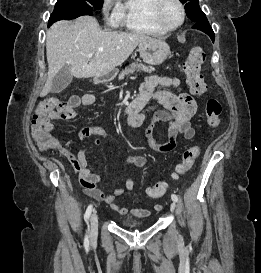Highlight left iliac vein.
I'll use <instances>...</instances> for the list:
<instances>
[{
	"mask_svg": "<svg viewBox=\"0 0 261 273\" xmlns=\"http://www.w3.org/2000/svg\"><path fill=\"white\" fill-rule=\"evenodd\" d=\"M170 209H171L172 212L175 211V209H176V203H175L174 201L171 202V204H170Z\"/></svg>",
	"mask_w": 261,
	"mask_h": 273,
	"instance_id": "4c4485c4",
	"label": "left iliac vein"
}]
</instances>
